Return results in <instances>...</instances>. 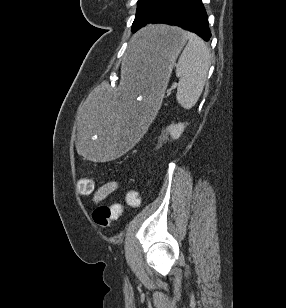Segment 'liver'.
Segmentation results:
<instances>
[{"instance_id": "obj_1", "label": "liver", "mask_w": 286, "mask_h": 308, "mask_svg": "<svg viewBox=\"0 0 286 308\" xmlns=\"http://www.w3.org/2000/svg\"><path fill=\"white\" fill-rule=\"evenodd\" d=\"M137 36V35H136ZM135 36V37H136ZM135 39V38H134ZM133 56L135 57V48H134V46H133Z\"/></svg>"}]
</instances>
